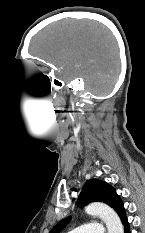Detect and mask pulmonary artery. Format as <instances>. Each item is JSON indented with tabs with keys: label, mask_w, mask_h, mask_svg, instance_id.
Listing matches in <instances>:
<instances>
[{
	"label": "pulmonary artery",
	"mask_w": 145,
	"mask_h": 233,
	"mask_svg": "<svg viewBox=\"0 0 145 233\" xmlns=\"http://www.w3.org/2000/svg\"><path fill=\"white\" fill-rule=\"evenodd\" d=\"M103 227L101 224L98 223H86L85 225H82L80 227L74 228L68 233H103Z\"/></svg>",
	"instance_id": "e3ab8cb5"
}]
</instances>
